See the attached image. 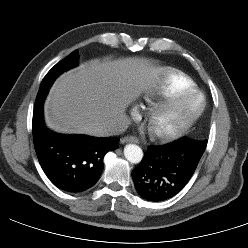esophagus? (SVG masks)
Instances as JSON below:
<instances>
[{
	"label": "esophagus",
	"instance_id": "1",
	"mask_svg": "<svg viewBox=\"0 0 248 248\" xmlns=\"http://www.w3.org/2000/svg\"><path fill=\"white\" fill-rule=\"evenodd\" d=\"M120 143H139V139L135 136H125L120 139Z\"/></svg>",
	"mask_w": 248,
	"mask_h": 248
}]
</instances>
